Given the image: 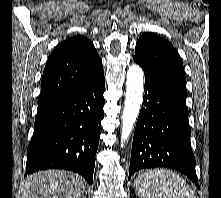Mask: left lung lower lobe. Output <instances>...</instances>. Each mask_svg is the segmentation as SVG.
I'll use <instances>...</instances> for the list:
<instances>
[{
  "mask_svg": "<svg viewBox=\"0 0 221 198\" xmlns=\"http://www.w3.org/2000/svg\"><path fill=\"white\" fill-rule=\"evenodd\" d=\"M144 92L129 175L145 168L168 167L187 175L197 185L186 102L148 74Z\"/></svg>",
  "mask_w": 221,
  "mask_h": 198,
  "instance_id": "0a47b994",
  "label": "left lung lower lobe"
}]
</instances>
